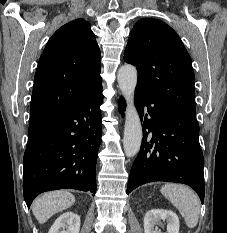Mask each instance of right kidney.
<instances>
[{
    "instance_id": "1",
    "label": "right kidney",
    "mask_w": 227,
    "mask_h": 233,
    "mask_svg": "<svg viewBox=\"0 0 227 233\" xmlns=\"http://www.w3.org/2000/svg\"><path fill=\"white\" fill-rule=\"evenodd\" d=\"M80 217L73 212L61 214L48 233H79Z\"/></svg>"
}]
</instances>
